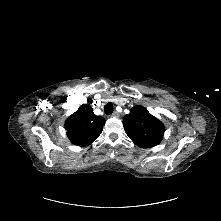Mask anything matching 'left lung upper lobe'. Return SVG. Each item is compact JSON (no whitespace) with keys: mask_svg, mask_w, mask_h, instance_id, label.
<instances>
[{"mask_svg":"<svg viewBox=\"0 0 221 221\" xmlns=\"http://www.w3.org/2000/svg\"><path fill=\"white\" fill-rule=\"evenodd\" d=\"M123 126L129 138L141 148L158 145L165 131L163 123L142 106L133 107L124 116Z\"/></svg>","mask_w":221,"mask_h":221,"instance_id":"left-lung-upper-lobe-1","label":"left lung upper lobe"}]
</instances>
